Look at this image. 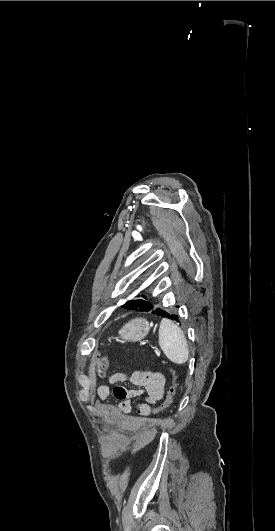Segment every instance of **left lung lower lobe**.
I'll return each mask as SVG.
<instances>
[{
  "mask_svg": "<svg viewBox=\"0 0 275 531\" xmlns=\"http://www.w3.org/2000/svg\"><path fill=\"white\" fill-rule=\"evenodd\" d=\"M153 313H156L157 315H161L163 317H167V318H169L171 320H175V321L179 322V320L177 318V315H173V314L170 315L169 313H166L165 311H162L160 309L154 310Z\"/></svg>",
  "mask_w": 275,
  "mask_h": 531,
  "instance_id": "0a47b994",
  "label": "left lung lower lobe"
}]
</instances>
